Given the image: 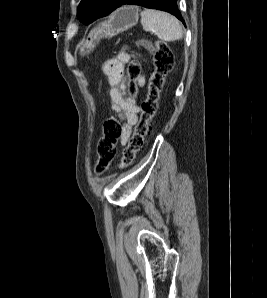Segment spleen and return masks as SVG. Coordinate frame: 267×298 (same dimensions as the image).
Masks as SVG:
<instances>
[{"label":"spleen","mask_w":267,"mask_h":298,"mask_svg":"<svg viewBox=\"0 0 267 298\" xmlns=\"http://www.w3.org/2000/svg\"><path fill=\"white\" fill-rule=\"evenodd\" d=\"M140 15L143 29L153 32L162 41L171 42L182 38L181 24L173 15L152 9H144Z\"/></svg>","instance_id":"obj_1"}]
</instances>
